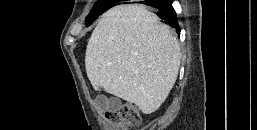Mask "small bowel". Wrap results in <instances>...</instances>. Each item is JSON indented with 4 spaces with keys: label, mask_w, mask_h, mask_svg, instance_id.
<instances>
[{
    "label": "small bowel",
    "mask_w": 257,
    "mask_h": 130,
    "mask_svg": "<svg viewBox=\"0 0 257 130\" xmlns=\"http://www.w3.org/2000/svg\"><path fill=\"white\" fill-rule=\"evenodd\" d=\"M96 102L100 108H103L106 110L113 109L117 105V101L115 99H109L105 96H99Z\"/></svg>",
    "instance_id": "obj_1"
}]
</instances>
